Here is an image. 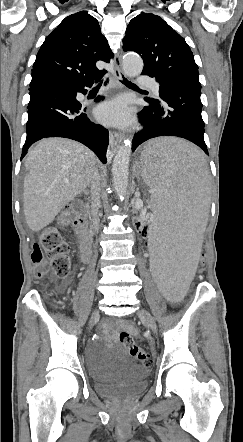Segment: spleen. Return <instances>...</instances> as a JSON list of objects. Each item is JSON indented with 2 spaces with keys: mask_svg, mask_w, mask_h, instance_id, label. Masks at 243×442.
I'll return each instance as SVG.
<instances>
[{
  "mask_svg": "<svg viewBox=\"0 0 243 442\" xmlns=\"http://www.w3.org/2000/svg\"><path fill=\"white\" fill-rule=\"evenodd\" d=\"M135 176L147 184V209L152 233L150 273L159 296L173 302L186 296L200 240L208 220V170L204 154L194 145L177 138L150 141L139 155ZM171 192V193H165Z\"/></svg>",
  "mask_w": 243,
  "mask_h": 442,
  "instance_id": "1",
  "label": "spleen"
}]
</instances>
